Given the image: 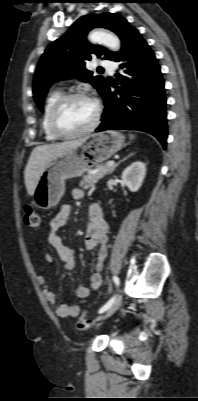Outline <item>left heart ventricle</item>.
<instances>
[{
    "label": "left heart ventricle",
    "mask_w": 198,
    "mask_h": 401,
    "mask_svg": "<svg viewBox=\"0 0 198 401\" xmlns=\"http://www.w3.org/2000/svg\"><path fill=\"white\" fill-rule=\"evenodd\" d=\"M95 117V105L88 99L69 101L58 116L59 126L69 132L83 130L90 126Z\"/></svg>",
    "instance_id": "1"
}]
</instances>
